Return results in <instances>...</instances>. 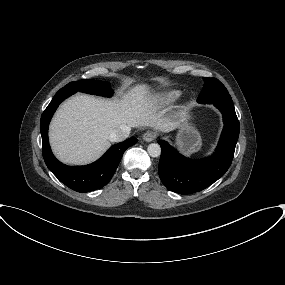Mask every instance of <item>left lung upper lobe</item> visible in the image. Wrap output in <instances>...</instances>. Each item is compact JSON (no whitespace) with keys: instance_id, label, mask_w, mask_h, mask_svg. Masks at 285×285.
<instances>
[{"instance_id":"1","label":"left lung upper lobe","mask_w":285,"mask_h":285,"mask_svg":"<svg viewBox=\"0 0 285 285\" xmlns=\"http://www.w3.org/2000/svg\"><path fill=\"white\" fill-rule=\"evenodd\" d=\"M203 80L204 87L197 99L199 103L233 106L230 94L218 79L203 77Z\"/></svg>"}]
</instances>
